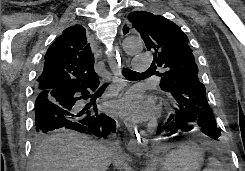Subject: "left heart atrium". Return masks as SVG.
I'll list each match as a JSON object with an SVG mask.
<instances>
[{
    "instance_id": "39dd6f15",
    "label": "left heart atrium",
    "mask_w": 245,
    "mask_h": 171,
    "mask_svg": "<svg viewBox=\"0 0 245 171\" xmlns=\"http://www.w3.org/2000/svg\"><path fill=\"white\" fill-rule=\"evenodd\" d=\"M115 109L132 120L144 121L153 116L155 104L140 90H130L114 104Z\"/></svg>"
}]
</instances>
